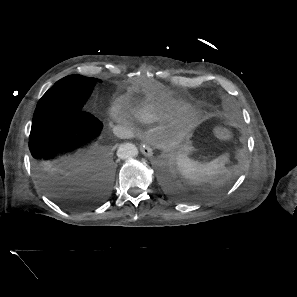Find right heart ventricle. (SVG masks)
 <instances>
[{"label":"right heart ventricle","mask_w":297,"mask_h":297,"mask_svg":"<svg viewBox=\"0 0 297 297\" xmlns=\"http://www.w3.org/2000/svg\"><path fill=\"white\" fill-rule=\"evenodd\" d=\"M168 114V110L163 106H157L153 103H147L136 109L133 115L137 120L143 123L153 122L158 117H163Z\"/></svg>","instance_id":"1"}]
</instances>
